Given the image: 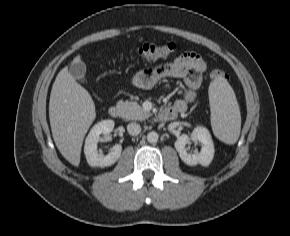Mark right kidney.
Wrapping results in <instances>:
<instances>
[{
	"mask_svg": "<svg viewBox=\"0 0 290 236\" xmlns=\"http://www.w3.org/2000/svg\"><path fill=\"white\" fill-rule=\"evenodd\" d=\"M113 120H103L95 124L90 130L84 145L86 160L91 167H107L113 165L121 156L122 146L117 144L113 146L108 155L99 154L97 143L100 135H108L114 128Z\"/></svg>",
	"mask_w": 290,
	"mask_h": 236,
	"instance_id": "obj_1",
	"label": "right kidney"
}]
</instances>
